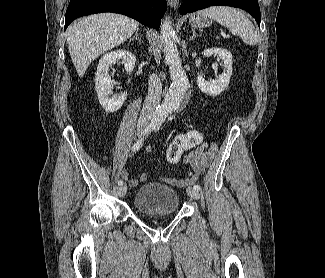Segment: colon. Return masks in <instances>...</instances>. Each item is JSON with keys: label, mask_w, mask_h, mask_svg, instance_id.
I'll return each mask as SVG.
<instances>
[{"label": "colon", "mask_w": 325, "mask_h": 278, "mask_svg": "<svg viewBox=\"0 0 325 278\" xmlns=\"http://www.w3.org/2000/svg\"><path fill=\"white\" fill-rule=\"evenodd\" d=\"M201 141L202 135L197 130H191L188 134H182L177 136L167 148V163L170 165L177 164L185 151L195 147Z\"/></svg>", "instance_id": "5ec220e1"}]
</instances>
